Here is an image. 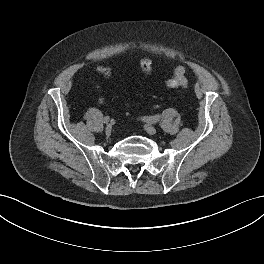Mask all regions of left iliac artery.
<instances>
[{"instance_id":"left-iliac-artery-1","label":"left iliac artery","mask_w":264,"mask_h":264,"mask_svg":"<svg viewBox=\"0 0 264 264\" xmlns=\"http://www.w3.org/2000/svg\"><path fill=\"white\" fill-rule=\"evenodd\" d=\"M143 120L147 123L154 124L160 120V116L159 115L147 116V117H144Z\"/></svg>"}]
</instances>
